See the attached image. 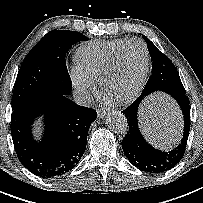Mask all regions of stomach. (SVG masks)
Listing matches in <instances>:
<instances>
[{
  "label": "stomach",
  "instance_id": "obj_1",
  "mask_svg": "<svg viewBox=\"0 0 203 203\" xmlns=\"http://www.w3.org/2000/svg\"><path fill=\"white\" fill-rule=\"evenodd\" d=\"M153 102H156V101H152L151 104L145 105V107L142 109V111L144 112V114H147V112H148V107H149V106L154 109V108H158V107H159V108H160V107H163V105H164V102H162V101L156 102V105H153Z\"/></svg>",
  "mask_w": 203,
  "mask_h": 203
}]
</instances>
